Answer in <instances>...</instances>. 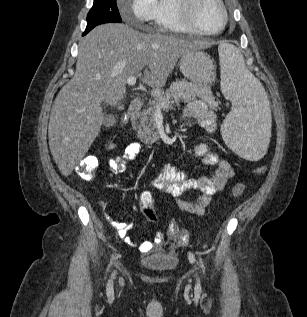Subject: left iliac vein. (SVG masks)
<instances>
[{
  "label": "left iliac vein",
  "instance_id": "obj_1",
  "mask_svg": "<svg viewBox=\"0 0 307 317\" xmlns=\"http://www.w3.org/2000/svg\"><path fill=\"white\" fill-rule=\"evenodd\" d=\"M189 259L193 262V260H194V257H193V255L190 253L189 254Z\"/></svg>",
  "mask_w": 307,
  "mask_h": 317
}]
</instances>
